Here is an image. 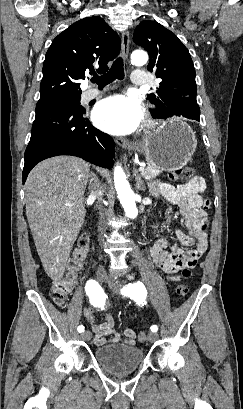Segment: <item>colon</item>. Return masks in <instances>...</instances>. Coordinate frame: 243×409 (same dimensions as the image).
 <instances>
[{"instance_id":"colon-1","label":"colon","mask_w":243,"mask_h":409,"mask_svg":"<svg viewBox=\"0 0 243 409\" xmlns=\"http://www.w3.org/2000/svg\"><path fill=\"white\" fill-rule=\"evenodd\" d=\"M193 175V169L188 166L172 170L168 174L169 179L174 182L191 179ZM88 242V238L86 237H83L79 240L78 247L73 251L72 256L67 263L65 277L59 280H55L51 285L50 295L55 304L59 306H63L66 303L68 294L70 293L73 284L75 283L78 273L83 268ZM190 276L191 270L189 268H184L182 270V277L189 278ZM176 292L179 297L183 298L188 293V286L186 284H179L177 286ZM138 340L140 342H144L146 340L145 331H141L138 334Z\"/></svg>"}]
</instances>
